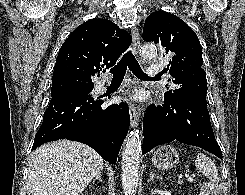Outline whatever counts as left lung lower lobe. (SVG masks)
Listing matches in <instances>:
<instances>
[{
  "mask_svg": "<svg viewBox=\"0 0 245 195\" xmlns=\"http://www.w3.org/2000/svg\"><path fill=\"white\" fill-rule=\"evenodd\" d=\"M142 154L173 140L198 146L222 159L210 123L207 103L195 98L164 100L144 115Z\"/></svg>",
  "mask_w": 245,
  "mask_h": 195,
  "instance_id": "1",
  "label": "left lung lower lobe"
}]
</instances>
